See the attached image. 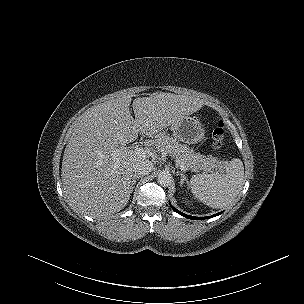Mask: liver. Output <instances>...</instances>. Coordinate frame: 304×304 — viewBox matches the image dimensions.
Here are the masks:
<instances>
[{"label": "liver", "mask_w": 304, "mask_h": 304, "mask_svg": "<svg viewBox=\"0 0 304 304\" xmlns=\"http://www.w3.org/2000/svg\"><path fill=\"white\" fill-rule=\"evenodd\" d=\"M131 100L122 96L87 109L64 151V191L76 211L92 218L114 214L127 205L133 165L152 155L149 150L142 155L121 146L136 140L138 134H160L203 106L194 96L157 94L134 99V119Z\"/></svg>", "instance_id": "6515ba94"}]
</instances>
